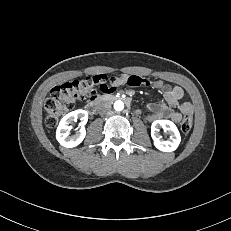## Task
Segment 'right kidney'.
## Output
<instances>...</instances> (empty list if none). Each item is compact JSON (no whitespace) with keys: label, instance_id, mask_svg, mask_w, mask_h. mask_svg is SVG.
<instances>
[{"label":"right kidney","instance_id":"obj_1","mask_svg":"<svg viewBox=\"0 0 231 231\" xmlns=\"http://www.w3.org/2000/svg\"><path fill=\"white\" fill-rule=\"evenodd\" d=\"M80 119V130L74 135L69 136V130L71 129V123ZM88 121V112L85 110H75L65 115L57 127L56 139L57 141L66 148H72L79 145L86 136V130L84 125Z\"/></svg>","mask_w":231,"mask_h":231}]
</instances>
